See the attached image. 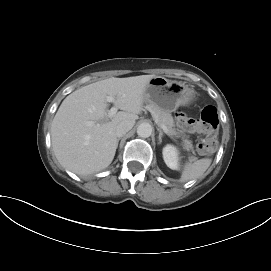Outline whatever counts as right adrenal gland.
I'll return each mask as SVG.
<instances>
[{
    "mask_svg": "<svg viewBox=\"0 0 271 271\" xmlns=\"http://www.w3.org/2000/svg\"><path fill=\"white\" fill-rule=\"evenodd\" d=\"M119 140H120V138L117 139V144H118Z\"/></svg>",
    "mask_w": 271,
    "mask_h": 271,
    "instance_id": "2a0ac1e0",
    "label": "right adrenal gland"
}]
</instances>
